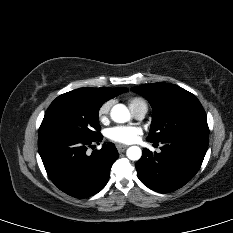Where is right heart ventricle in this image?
<instances>
[{
	"instance_id": "right-heart-ventricle-1",
	"label": "right heart ventricle",
	"mask_w": 233,
	"mask_h": 233,
	"mask_svg": "<svg viewBox=\"0 0 233 233\" xmlns=\"http://www.w3.org/2000/svg\"><path fill=\"white\" fill-rule=\"evenodd\" d=\"M140 104H146L141 98H131L129 100V107L130 109H132L133 107L140 105Z\"/></svg>"
}]
</instances>
